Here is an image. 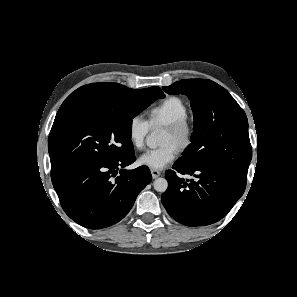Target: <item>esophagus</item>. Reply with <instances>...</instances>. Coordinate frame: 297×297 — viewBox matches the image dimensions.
I'll return each instance as SVG.
<instances>
[{"label": "esophagus", "instance_id": "obj_1", "mask_svg": "<svg viewBox=\"0 0 297 297\" xmlns=\"http://www.w3.org/2000/svg\"><path fill=\"white\" fill-rule=\"evenodd\" d=\"M151 175L154 179L158 178L161 175V172L156 169H151Z\"/></svg>", "mask_w": 297, "mask_h": 297}]
</instances>
